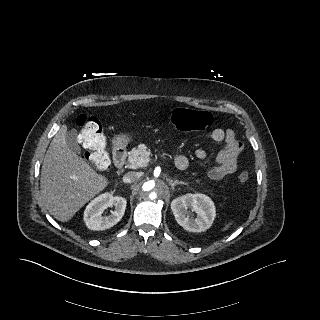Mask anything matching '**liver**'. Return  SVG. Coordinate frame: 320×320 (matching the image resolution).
Returning <instances> with one entry per match:
<instances>
[{
    "instance_id": "1",
    "label": "liver",
    "mask_w": 320,
    "mask_h": 320,
    "mask_svg": "<svg viewBox=\"0 0 320 320\" xmlns=\"http://www.w3.org/2000/svg\"><path fill=\"white\" fill-rule=\"evenodd\" d=\"M63 125L51 141L41 168V197L49 213L61 222L69 221L81 207L107 186L67 145Z\"/></svg>"
}]
</instances>
